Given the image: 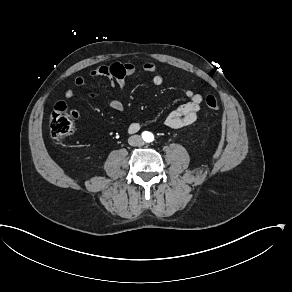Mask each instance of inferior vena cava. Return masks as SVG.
Returning a JSON list of instances; mask_svg holds the SVG:
<instances>
[{
    "instance_id": "inferior-vena-cava-1",
    "label": "inferior vena cava",
    "mask_w": 292,
    "mask_h": 292,
    "mask_svg": "<svg viewBox=\"0 0 292 292\" xmlns=\"http://www.w3.org/2000/svg\"><path fill=\"white\" fill-rule=\"evenodd\" d=\"M128 143L132 146H141L144 144V140L141 136L134 135L129 137Z\"/></svg>"
}]
</instances>
